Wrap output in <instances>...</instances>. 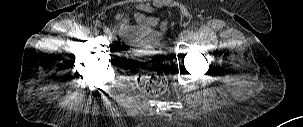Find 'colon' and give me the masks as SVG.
<instances>
[{
	"label": "colon",
	"instance_id": "1",
	"mask_svg": "<svg viewBox=\"0 0 303 127\" xmlns=\"http://www.w3.org/2000/svg\"><path fill=\"white\" fill-rule=\"evenodd\" d=\"M136 85L151 96L162 95L167 89V78L159 63L144 61L138 65Z\"/></svg>",
	"mask_w": 303,
	"mask_h": 127
}]
</instances>
